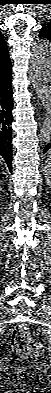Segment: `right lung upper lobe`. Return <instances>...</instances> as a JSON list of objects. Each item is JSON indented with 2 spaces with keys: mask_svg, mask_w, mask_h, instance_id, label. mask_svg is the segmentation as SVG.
<instances>
[{
  "mask_svg": "<svg viewBox=\"0 0 51 393\" xmlns=\"http://www.w3.org/2000/svg\"><path fill=\"white\" fill-rule=\"evenodd\" d=\"M11 69L7 43L0 33V75L7 73Z\"/></svg>",
  "mask_w": 51,
  "mask_h": 393,
  "instance_id": "1",
  "label": "right lung upper lobe"
}]
</instances>
